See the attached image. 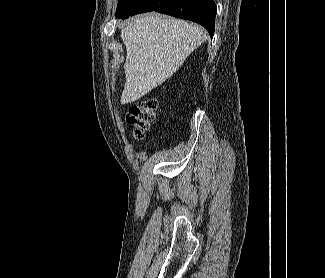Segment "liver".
<instances>
[{"label":"liver","mask_w":325,"mask_h":278,"mask_svg":"<svg viewBox=\"0 0 325 278\" xmlns=\"http://www.w3.org/2000/svg\"><path fill=\"white\" fill-rule=\"evenodd\" d=\"M207 36L187 21L147 14L121 30L126 46V82L121 104L137 101L170 78Z\"/></svg>","instance_id":"6515ba94"}]
</instances>
